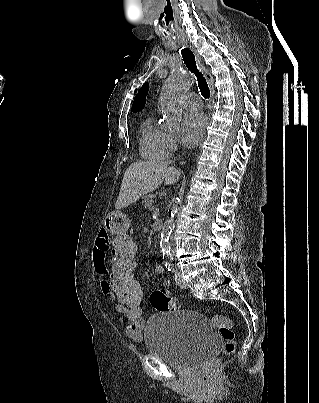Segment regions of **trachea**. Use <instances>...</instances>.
<instances>
[{
  "instance_id": "obj_1",
  "label": "trachea",
  "mask_w": 319,
  "mask_h": 403,
  "mask_svg": "<svg viewBox=\"0 0 319 403\" xmlns=\"http://www.w3.org/2000/svg\"><path fill=\"white\" fill-rule=\"evenodd\" d=\"M181 54L186 67L197 77L198 87L200 89L202 96L205 99H208L210 97V90L203 74L199 71V69H197L195 56L193 52L185 48L181 51Z\"/></svg>"
}]
</instances>
